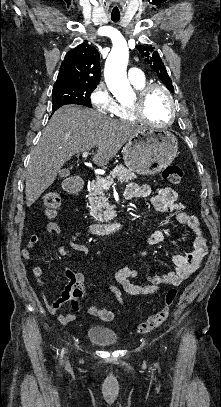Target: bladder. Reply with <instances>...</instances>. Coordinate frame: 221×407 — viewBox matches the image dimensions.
<instances>
[{"mask_svg": "<svg viewBox=\"0 0 221 407\" xmlns=\"http://www.w3.org/2000/svg\"><path fill=\"white\" fill-rule=\"evenodd\" d=\"M86 338L101 346H114L118 342V335L110 327L92 326L87 330Z\"/></svg>", "mask_w": 221, "mask_h": 407, "instance_id": "bladder-1", "label": "bladder"}]
</instances>
